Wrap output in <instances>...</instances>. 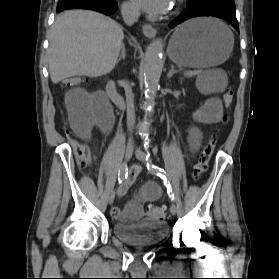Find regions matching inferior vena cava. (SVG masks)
<instances>
[{"instance_id": "602c4592", "label": "inferior vena cava", "mask_w": 279, "mask_h": 279, "mask_svg": "<svg viewBox=\"0 0 279 279\" xmlns=\"http://www.w3.org/2000/svg\"><path fill=\"white\" fill-rule=\"evenodd\" d=\"M121 14L124 22L131 26L138 21L140 16V10L135 5L124 4L121 7ZM126 93V102H127V125L129 130H132V127L135 123V110H134V96L132 94V89L128 83L125 86ZM129 143L132 145V140L129 139Z\"/></svg>"}]
</instances>
